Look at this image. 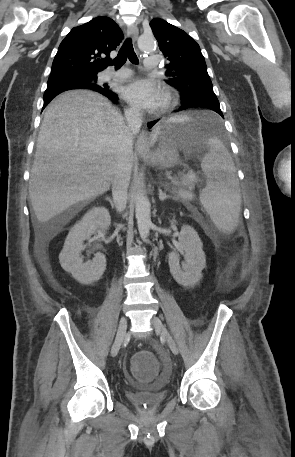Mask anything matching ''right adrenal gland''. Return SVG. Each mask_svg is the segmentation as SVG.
I'll list each match as a JSON object with an SVG mask.
<instances>
[{
    "label": "right adrenal gland",
    "instance_id": "1",
    "mask_svg": "<svg viewBox=\"0 0 295 457\" xmlns=\"http://www.w3.org/2000/svg\"><path fill=\"white\" fill-rule=\"evenodd\" d=\"M106 200L110 203L111 207L114 208V203L110 197H106Z\"/></svg>",
    "mask_w": 295,
    "mask_h": 457
}]
</instances>
